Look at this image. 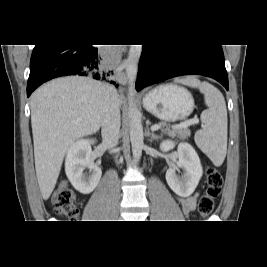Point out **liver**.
Wrapping results in <instances>:
<instances>
[{
    "label": "liver",
    "mask_w": 267,
    "mask_h": 267,
    "mask_svg": "<svg viewBox=\"0 0 267 267\" xmlns=\"http://www.w3.org/2000/svg\"><path fill=\"white\" fill-rule=\"evenodd\" d=\"M106 87L91 78L72 76L55 79L31 95L35 170L44 200L55 188L70 146L102 125Z\"/></svg>",
    "instance_id": "obj_1"
}]
</instances>
